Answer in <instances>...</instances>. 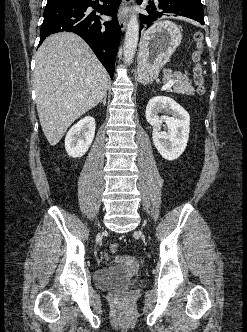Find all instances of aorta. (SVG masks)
Wrapping results in <instances>:
<instances>
[{
	"instance_id": "762f6f07",
	"label": "aorta",
	"mask_w": 247,
	"mask_h": 332,
	"mask_svg": "<svg viewBox=\"0 0 247 332\" xmlns=\"http://www.w3.org/2000/svg\"><path fill=\"white\" fill-rule=\"evenodd\" d=\"M139 39V23L136 14H132L125 34L123 56L124 62L130 64L134 58Z\"/></svg>"
}]
</instances>
